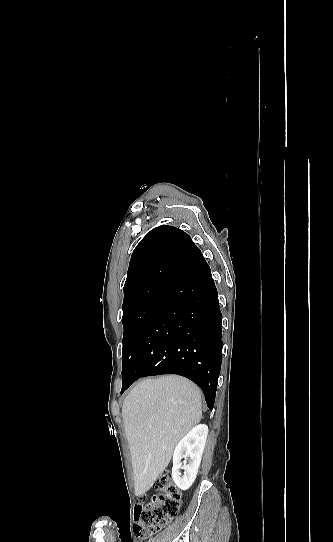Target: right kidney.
Listing matches in <instances>:
<instances>
[{
  "label": "right kidney",
  "mask_w": 333,
  "mask_h": 542,
  "mask_svg": "<svg viewBox=\"0 0 333 542\" xmlns=\"http://www.w3.org/2000/svg\"><path fill=\"white\" fill-rule=\"evenodd\" d=\"M207 436L208 426L198 424L177 444L173 454L172 478L180 490H189L196 480ZM183 458L187 464H182ZM180 470H185L184 476H181Z\"/></svg>",
  "instance_id": "right-kidney-1"
}]
</instances>
